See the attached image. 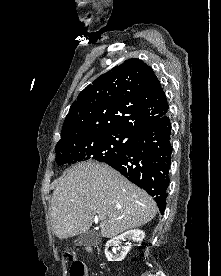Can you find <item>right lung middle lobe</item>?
Returning a JSON list of instances; mask_svg holds the SVG:
<instances>
[{
    "instance_id": "obj_1",
    "label": "right lung middle lobe",
    "mask_w": 221,
    "mask_h": 276,
    "mask_svg": "<svg viewBox=\"0 0 221 276\" xmlns=\"http://www.w3.org/2000/svg\"><path fill=\"white\" fill-rule=\"evenodd\" d=\"M133 136L123 132H103L82 139L57 143L56 162L58 165L95 159L106 162L126 151L132 145Z\"/></svg>"
}]
</instances>
